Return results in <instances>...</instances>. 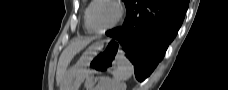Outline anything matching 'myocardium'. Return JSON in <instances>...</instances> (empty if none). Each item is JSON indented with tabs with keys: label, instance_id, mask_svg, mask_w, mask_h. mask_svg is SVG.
Segmentation results:
<instances>
[{
	"label": "myocardium",
	"instance_id": "1",
	"mask_svg": "<svg viewBox=\"0 0 228 90\" xmlns=\"http://www.w3.org/2000/svg\"><path fill=\"white\" fill-rule=\"evenodd\" d=\"M107 2V3H110L112 4L115 9H116V17L115 19L112 21V23L110 25H108L107 27H105L104 29H101V30H97L95 28L92 27L91 23H90V13H91V10L93 8V6L98 3V2ZM123 17V7L122 5L120 4L119 1L117 0H94L90 3L88 9H87V12H86V25H87V28L93 32V33H96V34H102V33H105L106 31L114 28L122 19Z\"/></svg>",
	"mask_w": 228,
	"mask_h": 90
}]
</instances>
